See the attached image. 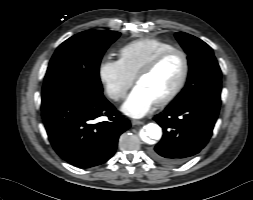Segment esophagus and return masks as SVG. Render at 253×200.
I'll list each match as a JSON object with an SVG mask.
<instances>
[{
	"label": "esophagus",
	"instance_id": "esophagus-1",
	"mask_svg": "<svg viewBox=\"0 0 253 200\" xmlns=\"http://www.w3.org/2000/svg\"><path fill=\"white\" fill-rule=\"evenodd\" d=\"M131 123H132L133 126L144 124V122H143V121H140V120H132Z\"/></svg>",
	"mask_w": 253,
	"mask_h": 200
}]
</instances>
